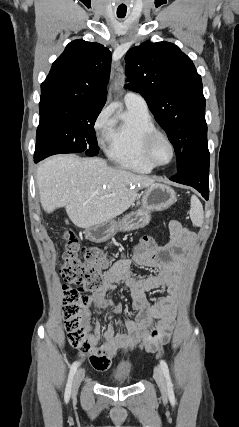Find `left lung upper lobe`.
<instances>
[{
  "mask_svg": "<svg viewBox=\"0 0 239 427\" xmlns=\"http://www.w3.org/2000/svg\"><path fill=\"white\" fill-rule=\"evenodd\" d=\"M125 87L146 100L174 146L177 172L209 155L201 76L175 44L144 42L126 54Z\"/></svg>",
  "mask_w": 239,
  "mask_h": 427,
  "instance_id": "obj_1",
  "label": "left lung upper lobe"
}]
</instances>
